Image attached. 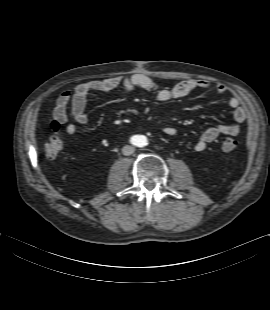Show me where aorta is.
I'll return each instance as SVG.
<instances>
[{
  "label": "aorta",
  "instance_id": "obj_1",
  "mask_svg": "<svg viewBox=\"0 0 270 310\" xmlns=\"http://www.w3.org/2000/svg\"><path fill=\"white\" fill-rule=\"evenodd\" d=\"M139 142H141V145H144L146 143L145 139H140Z\"/></svg>",
  "mask_w": 270,
  "mask_h": 310
}]
</instances>
